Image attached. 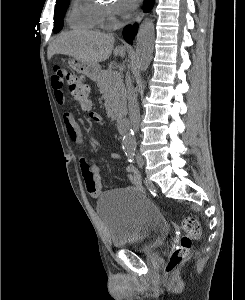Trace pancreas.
Masks as SVG:
<instances>
[{"mask_svg": "<svg viewBox=\"0 0 245 300\" xmlns=\"http://www.w3.org/2000/svg\"><path fill=\"white\" fill-rule=\"evenodd\" d=\"M96 81L105 99L107 115L114 121L126 111V91L122 75L113 70L101 71Z\"/></svg>", "mask_w": 245, "mask_h": 300, "instance_id": "obj_1", "label": "pancreas"}]
</instances>
